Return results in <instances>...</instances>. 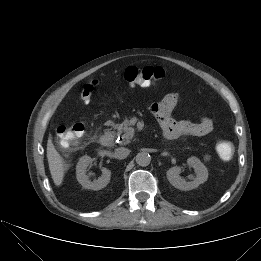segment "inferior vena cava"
<instances>
[{"label": "inferior vena cava", "mask_w": 261, "mask_h": 261, "mask_svg": "<svg viewBox=\"0 0 261 261\" xmlns=\"http://www.w3.org/2000/svg\"><path fill=\"white\" fill-rule=\"evenodd\" d=\"M130 154V150L124 147L117 148L114 157L117 159H124Z\"/></svg>", "instance_id": "obj_1"}]
</instances>
